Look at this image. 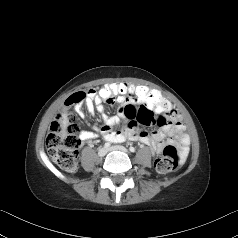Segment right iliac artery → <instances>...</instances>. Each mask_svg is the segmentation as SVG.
Here are the masks:
<instances>
[{
    "instance_id": "right-iliac-artery-1",
    "label": "right iliac artery",
    "mask_w": 238,
    "mask_h": 238,
    "mask_svg": "<svg viewBox=\"0 0 238 238\" xmlns=\"http://www.w3.org/2000/svg\"><path fill=\"white\" fill-rule=\"evenodd\" d=\"M110 145H111V144H110L109 142H106V143L104 144V147H105V148H108V147H110Z\"/></svg>"
}]
</instances>
